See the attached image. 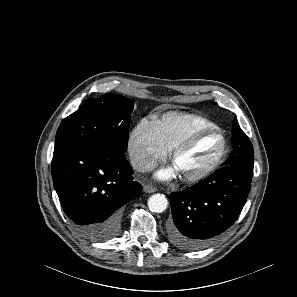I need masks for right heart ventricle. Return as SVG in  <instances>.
Segmentation results:
<instances>
[{
    "mask_svg": "<svg viewBox=\"0 0 297 297\" xmlns=\"http://www.w3.org/2000/svg\"><path fill=\"white\" fill-rule=\"evenodd\" d=\"M153 127L161 144L171 150L180 140L200 128L216 127L207 118L189 112L169 111L153 121Z\"/></svg>",
    "mask_w": 297,
    "mask_h": 297,
    "instance_id": "1",
    "label": "right heart ventricle"
}]
</instances>
